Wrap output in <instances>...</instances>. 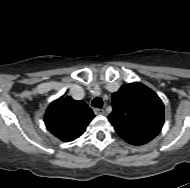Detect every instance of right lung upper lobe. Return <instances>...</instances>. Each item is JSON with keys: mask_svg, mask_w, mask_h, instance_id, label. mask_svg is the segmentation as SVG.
<instances>
[{"mask_svg": "<svg viewBox=\"0 0 190 188\" xmlns=\"http://www.w3.org/2000/svg\"><path fill=\"white\" fill-rule=\"evenodd\" d=\"M93 118L92 110L84 101L61 96L49 105L44 121L54 136L69 142L80 137Z\"/></svg>", "mask_w": 190, "mask_h": 188, "instance_id": "1", "label": "right lung upper lobe"}]
</instances>
